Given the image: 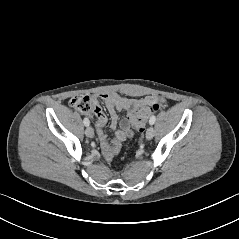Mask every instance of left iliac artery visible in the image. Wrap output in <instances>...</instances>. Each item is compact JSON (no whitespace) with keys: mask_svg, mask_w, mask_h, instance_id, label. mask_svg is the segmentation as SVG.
<instances>
[{"mask_svg":"<svg viewBox=\"0 0 239 239\" xmlns=\"http://www.w3.org/2000/svg\"><path fill=\"white\" fill-rule=\"evenodd\" d=\"M155 121H156V117H155L154 115L151 116V118H150V120H149V123L152 125V124L155 123Z\"/></svg>","mask_w":239,"mask_h":239,"instance_id":"left-iliac-artery-1","label":"left iliac artery"}]
</instances>
